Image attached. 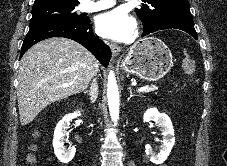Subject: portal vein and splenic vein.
I'll use <instances>...</instances> for the list:
<instances>
[{"mask_svg": "<svg viewBox=\"0 0 227 166\" xmlns=\"http://www.w3.org/2000/svg\"><path fill=\"white\" fill-rule=\"evenodd\" d=\"M69 85H71V83H69V84H65V86H69ZM148 87L147 86H143V87H141V88H139V92H146V91H148Z\"/></svg>", "mask_w": 227, "mask_h": 166, "instance_id": "obj_1", "label": "portal vein and splenic vein"}]
</instances>
